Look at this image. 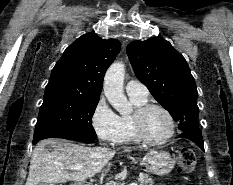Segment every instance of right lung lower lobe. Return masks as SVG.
I'll use <instances>...</instances> for the list:
<instances>
[{
    "mask_svg": "<svg viewBox=\"0 0 233 185\" xmlns=\"http://www.w3.org/2000/svg\"><path fill=\"white\" fill-rule=\"evenodd\" d=\"M79 142H91L93 139H78Z\"/></svg>",
    "mask_w": 233,
    "mask_h": 185,
    "instance_id": "obj_1",
    "label": "right lung lower lobe"
}]
</instances>
